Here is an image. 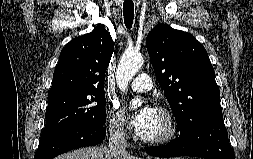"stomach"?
<instances>
[{"mask_svg": "<svg viewBox=\"0 0 253 159\" xmlns=\"http://www.w3.org/2000/svg\"><path fill=\"white\" fill-rule=\"evenodd\" d=\"M148 159H151V158H148ZM154 159H159V158H154ZM175 159H184V158H175Z\"/></svg>", "mask_w": 253, "mask_h": 159, "instance_id": "1", "label": "stomach"}]
</instances>
